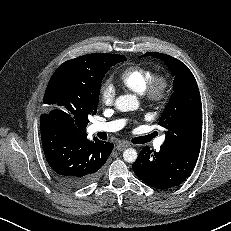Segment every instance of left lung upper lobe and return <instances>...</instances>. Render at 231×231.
I'll list each match as a JSON object with an SVG mask.
<instances>
[{"label":"left lung upper lobe","instance_id":"obj_1","mask_svg":"<svg viewBox=\"0 0 231 231\" xmlns=\"http://www.w3.org/2000/svg\"><path fill=\"white\" fill-rule=\"evenodd\" d=\"M164 61L174 76V92L159 124L167 129L163 146L182 153L199 155L202 136V104L196 80L178 59L155 52L145 53Z\"/></svg>","mask_w":231,"mask_h":231}]
</instances>
